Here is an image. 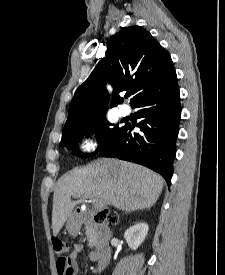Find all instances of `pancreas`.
I'll return each mask as SVG.
<instances>
[{
    "label": "pancreas",
    "mask_w": 225,
    "mask_h": 275,
    "mask_svg": "<svg viewBox=\"0 0 225 275\" xmlns=\"http://www.w3.org/2000/svg\"><path fill=\"white\" fill-rule=\"evenodd\" d=\"M86 235L89 240L90 246H93L96 241V235H95V227L93 226H88L86 230Z\"/></svg>",
    "instance_id": "1"
}]
</instances>
